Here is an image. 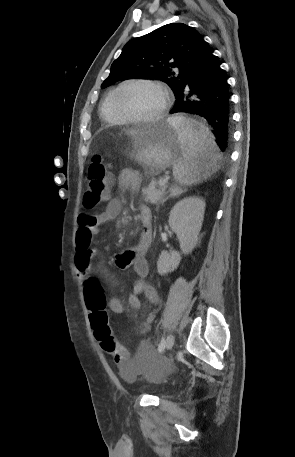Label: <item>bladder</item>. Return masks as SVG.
Returning a JSON list of instances; mask_svg holds the SVG:
<instances>
[{
	"label": "bladder",
	"mask_w": 295,
	"mask_h": 457,
	"mask_svg": "<svg viewBox=\"0 0 295 457\" xmlns=\"http://www.w3.org/2000/svg\"><path fill=\"white\" fill-rule=\"evenodd\" d=\"M138 353V359L134 356H129L126 363L120 364L119 373L123 380L133 383L135 382L140 374L138 369H150L143 373L145 378L151 382H161L162 378L173 379L172 375H175L176 368L172 360H166L168 355L166 353L153 352L152 345H138L136 347Z\"/></svg>",
	"instance_id": "31cf9c89"
}]
</instances>
